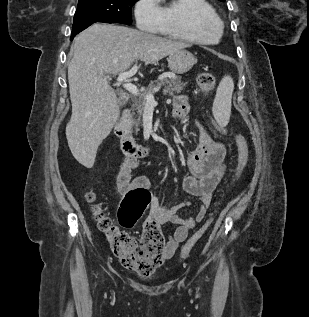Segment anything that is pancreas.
<instances>
[{"label":"pancreas","instance_id":"1","mask_svg":"<svg viewBox=\"0 0 309 317\" xmlns=\"http://www.w3.org/2000/svg\"><path fill=\"white\" fill-rule=\"evenodd\" d=\"M186 84L187 83L181 82V77L179 76H175L170 79L165 78L162 80L151 81L146 90L140 95L139 98L134 101V104L131 108L133 111L132 126L135 129V133L137 134L139 131V127L142 126L141 117L146 106L145 96L147 94H153L156 86L165 85V88L163 89V94L173 96L174 94L181 93V91L184 90Z\"/></svg>","mask_w":309,"mask_h":317}]
</instances>
